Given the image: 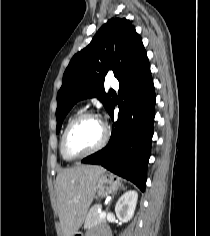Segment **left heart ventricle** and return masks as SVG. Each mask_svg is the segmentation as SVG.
<instances>
[{
    "instance_id": "1",
    "label": "left heart ventricle",
    "mask_w": 210,
    "mask_h": 236,
    "mask_svg": "<svg viewBox=\"0 0 210 236\" xmlns=\"http://www.w3.org/2000/svg\"><path fill=\"white\" fill-rule=\"evenodd\" d=\"M103 127L99 120L85 118L77 122L67 138L66 148L70 155H78L95 147L102 139Z\"/></svg>"
}]
</instances>
